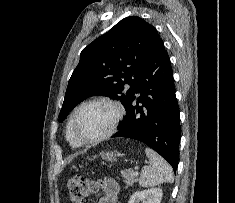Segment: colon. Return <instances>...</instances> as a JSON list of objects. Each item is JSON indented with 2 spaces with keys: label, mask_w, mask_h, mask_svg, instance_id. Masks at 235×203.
I'll return each mask as SVG.
<instances>
[{
  "label": "colon",
  "mask_w": 235,
  "mask_h": 203,
  "mask_svg": "<svg viewBox=\"0 0 235 203\" xmlns=\"http://www.w3.org/2000/svg\"><path fill=\"white\" fill-rule=\"evenodd\" d=\"M69 197L73 203H82L95 195L100 188L98 181L83 176H74L68 182Z\"/></svg>",
  "instance_id": "obj_1"
}]
</instances>
